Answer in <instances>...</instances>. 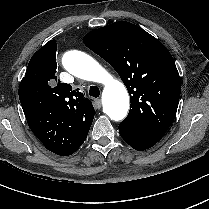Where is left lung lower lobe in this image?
<instances>
[{
	"instance_id": "obj_1",
	"label": "left lung lower lobe",
	"mask_w": 209,
	"mask_h": 209,
	"mask_svg": "<svg viewBox=\"0 0 209 209\" xmlns=\"http://www.w3.org/2000/svg\"><path fill=\"white\" fill-rule=\"evenodd\" d=\"M119 132L121 137L135 150L143 151L148 148H151L154 146L157 142L148 140L141 135H139L137 132L119 126Z\"/></svg>"
}]
</instances>
